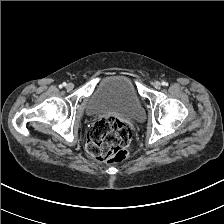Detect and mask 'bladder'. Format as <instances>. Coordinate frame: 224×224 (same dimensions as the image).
Returning a JSON list of instances; mask_svg holds the SVG:
<instances>
[{"label": "bladder", "mask_w": 224, "mask_h": 224, "mask_svg": "<svg viewBox=\"0 0 224 224\" xmlns=\"http://www.w3.org/2000/svg\"><path fill=\"white\" fill-rule=\"evenodd\" d=\"M104 112H115L138 121L144 119L140 97L126 75L105 76L93 89L87 103V113L97 115Z\"/></svg>", "instance_id": "bladder-1"}]
</instances>
